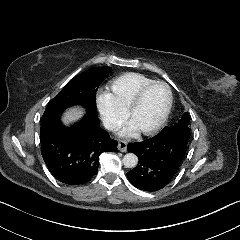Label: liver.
Listing matches in <instances>:
<instances>
[{"label":"liver","instance_id":"obj_1","mask_svg":"<svg viewBox=\"0 0 240 240\" xmlns=\"http://www.w3.org/2000/svg\"><path fill=\"white\" fill-rule=\"evenodd\" d=\"M83 113H84L83 108L72 107L64 113L62 121L65 124H69L70 122L78 120L80 117H82Z\"/></svg>","mask_w":240,"mask_h":240}]
</instances>
